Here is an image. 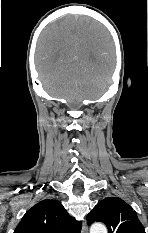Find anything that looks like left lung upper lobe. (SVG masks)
<instances>
[{
    "mask_svg": "<svg viewBox=\"0 0 148 233\" xmlns=\"http://www.w3.org/2000/svg\"><path fill=\"white\" fill-rule=\"evenodd\" d=\"M103 222L108 233H145L136 212L118 197H108L99 202L87 215V223Z\"/></svg>",
    "mask_w": 148,
    "mask_h": 233,
    "instance_id": "1",
    "label": "left lung upper lobe"
}]
</instances>
